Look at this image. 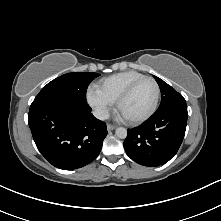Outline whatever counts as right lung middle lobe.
<instances>
[{"label": "right lung middle lobe", "mask_w": 221, "mask_h": 221, "mask_svg": "<svg viewBox=\"0 0 221 221\" xmlns=\"http://www.w3.org/2000/svg\"><path fill=\"white\" fill-rule=\"evenodd\" d=\"M100 74L91 72L67 73L42 88L30 107L37 104L58 99H75L86 101L88 85Z\"/></svg>", "instance_id": "1"}]
</instances>
